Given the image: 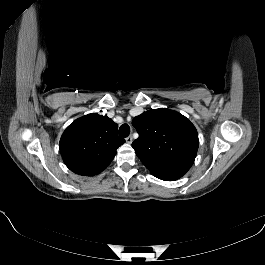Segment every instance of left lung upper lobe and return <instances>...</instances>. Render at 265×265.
I'll list each match as a JSON object with an SVG mask.
<instances>
[{"label":"left lung upper lobe","mask_w":265,"mask_h":265,"mask_svg":"<svg viewBox=\"0 0 265 265\" xmlns=\"http://www.w3.org/2000/svg\"><path fill=\"white\" fill-rule=\"evenodd\" d=\"M132 125L139 134L132 147L148 169L194 161L199 145L198 133L182 114L163 108L149 110L136 116Z\"/></svg>","instance_id":"5c2ea615"}]
</instances>
